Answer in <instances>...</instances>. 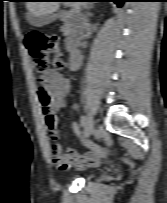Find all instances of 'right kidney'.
<instances>
[{
  "mask_svg": "<svg viewBox=\"0 0 167 203\" xmlns=\"http://www.w3.org/2000/svg\"><path fill=\"white\" fill-rule=\"evenodd\" d=\"M83 61V56L79 53V51H75L71 54L69 65L71 71H77L80 69Z\"/></svg>",
  "mask_w": 167,
  "mask_h": 203,
  "instance_id": "1",
  "label": "right kidney"
}]
</instances>
